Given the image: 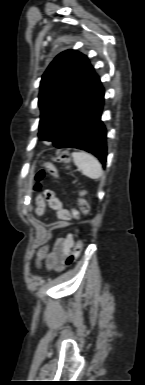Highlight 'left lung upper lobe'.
<instances>
[{"mask_svg": "<svg viewBox=\"0 0 145 385\" xmlns=\"http://www.w3.org/2000/svg\"><path fill=\"white\" fill-rule=\"evenodd\" d=\"M94 70L75 50L60 53L45 71L38 105L41 109L39 138L50 141L65 116L87 90Z\"/></svg>", "mask_w": 145, "mask_h": 385, "instance_id": "1", "label": "left lung upper lobe"}]
</instances>
